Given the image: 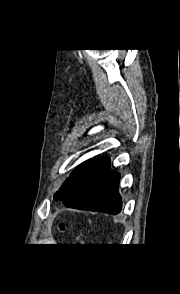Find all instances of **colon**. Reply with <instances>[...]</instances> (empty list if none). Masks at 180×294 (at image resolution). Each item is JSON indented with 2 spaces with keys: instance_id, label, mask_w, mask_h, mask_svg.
I'll use <instances>...</instances> for the list:
<instances>
[{
  "instance_id": "5ec220e1",
  "label": "colon",
  "mask_w": 180,
  "mask_h": 294,
  "mask_svg": "<svg viewBox=\"0 0 180 294\" xmlns=\"http://www.w3.org/2000/svg\"><path fill=\"white\" fill-rule=\"evenodd\" d=\"M64 226H65V225H63V224L61 225V227H64Z\"/></svg>"
}]
</instances>
